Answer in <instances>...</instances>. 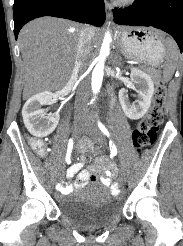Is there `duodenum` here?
Masks as SVG:
<instances>
[{
	"mask_svg": "<svg viewBox=\"0 0 183 246\" xmlns=\"http://www.w3.org/2000/svg\"><path fill=\"white\" fill-rule=\"evenodd\" d=\"M89 138L85 139L83 142L80 144V151H87V148H94V143H89Z\"/></svg>",
	"mask_w": 183,
	"mask_h": 246,
	"instance_id": "1",
	"label": "duodenum"
}]
</instances>
